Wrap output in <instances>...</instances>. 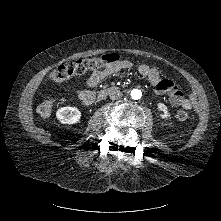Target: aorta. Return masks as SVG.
I'll list each match as a JSON object with an SVG mask.
<instances>
[{
  "mask_svg": "<svg viewBox=\"0 0 221 221\" xmlns=\"http://www.w3.org/2000/svg\"><path fill=\"white\" fill-rule=\"evenodd\" d=\"M131 97L135 100H138L141 98L142 93L139 89H133L130 93Z\"/></svg>",
  "mask_w": 221,
  "mask_h": 221,
  "instance_id": "obj_1",
  "label": "aorta"
}]
</instances>
